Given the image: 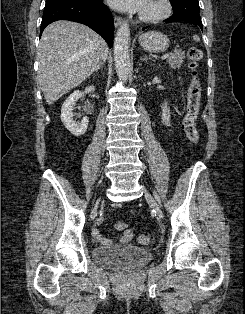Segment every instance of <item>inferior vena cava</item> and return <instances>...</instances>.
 <instances>
[{
	"label": "inferior vena cava",
	"mask_w": 245,
	"mask_h": 314,
	"mask_svg": "<svg viewBox=\"0 0 245 314\" xmlns=\"http://www.w3.org/2000/svg\"><path fill=\"white\" fill-rule=\"evenodd\" d=\"M107 56H108V48L106 47L104 50H103V53L101 55V59L103 61H105L107 59Z\"/></svg>",
	"instance_id": "inferior-vena-cava-1"
}]
</instances>
